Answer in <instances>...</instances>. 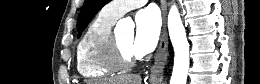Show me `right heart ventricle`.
Returning a JSON list of instances; mask_svg holds the SVG:
<instances>
[{
  "instance_id": "e07e8e85",
  "label": "right heart ventricle",
  "mask_w": 260,
  "mask_h": 84,
  "mask_svg": "<svg viewBox=\"0 0 260 84\" xmlns=\"http://www.w3.org/2000/svg\"><path fill=\"white\" fill-rule=\"evenodd\" d=\"M116 19L101 10L84 32L76 52L79 74L88 79H100L113 75L118 70L108 65L104 58V42Z\"/></svg>"
}]
</instances>
